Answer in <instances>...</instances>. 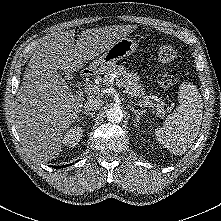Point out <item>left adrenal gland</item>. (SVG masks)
<instances>
[{"mask_svg": "<svg viewBox=\"0 0 221 221\" xmlns=\"http://www.w3.org/2000/svg\"><path fill=\"white\" fill-rule=\"evenodd\" d=\"M128 108L133 112V115L135 116V126L139 125L140 115L143 114V111L136 110L133 106L129 105Z\"/></svg>", "mask_w": 221, "mask_h": 221, "instance_id": "obj_1", "label": "left adrenal gland"}]
</instances>
